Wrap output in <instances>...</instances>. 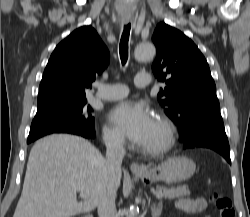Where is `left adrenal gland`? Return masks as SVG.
Segmentation results:
<instances>
[{"label":"left adrenal gland","instance_id":"obj_1","mask_svg":"<svg viewBox=\"0 0 250 217\" xmlns=\"http://www.w3.org/2000/svg\"><path fill=\"white\" fill-rule=\"evenodd\" d=\"M151 210H152V217H159L162 211V202H159L157 206L153 204Z\"/></svg>","mask_w":250,"mask_h":217}]
</instances>
